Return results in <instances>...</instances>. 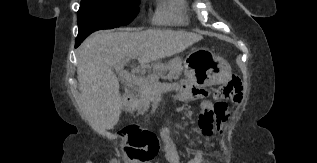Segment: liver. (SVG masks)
<instances>
[{"mask_svg": "<svg viewBox=\"0 0 317 163\" xmlns=\"http://www.w3.org/2000/svg\"><path fill=\"white\" fill-rule=\"evenodd\" d=\"M201 35L161 29L140 32L104 30L92 34L79 48L77 78L84 117L96 130H110L121 113L119 80L112 71L118 62L137 58L140 64L183 52Z\"/></svg>", "mask_w": 317, "mask_h": 163, "instance_id": "6515ba94", "label": "liver"}]
</instances>
